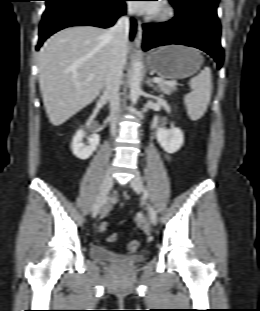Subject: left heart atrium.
Segmentation results:
<instances>
[{
    "instance_id": "39dd6f15",
    "label": "left heart atrium",
    "mask_w": 260,
    "mask_h": 311,
    "mask_svg": "<svg viewBox=\"0 0 260 311\" xmlns=\"http://www.w3.org/2000/svg\"><path fill=\"white\" fill-rule=\"evenodd\" d=\"M147 2H156L151 4H145L142 2H133L132 7L135 11L140 13H155L157 12L159 6L158 1H147Z\"/></svg>"
}]
</instances>
